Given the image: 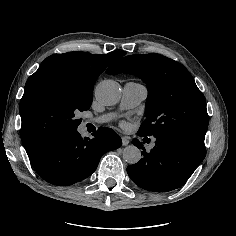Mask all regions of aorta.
<instances>
[{"instance_id": "aorta-1", "label": "aorta", "mask_w": 236, "mask_h": 236, "mask_svg": "<svg viewBox=\"0 0 236 236\" xmlns=\"http://www.w3.org/2000/svg\"><path fill=\"white\" fill-rule=\"evenodd\" d=\"M95 97L105 106L115 105L121 98L120 85L113 80H104L96 86ZM122 155L124 161L129 164H136L141 159L140 149L134 145L126 146Z\"/></svg>"}]
</instances>
